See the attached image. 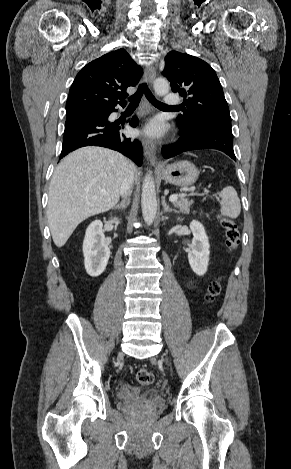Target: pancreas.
I'll list each match as a JSON object with an SVG mask.
<instances>
[{
    "label": "pancreas",
    "instance_id": "pancreas-1",
    "mask_svg": "<svg viewBox=\"0 0 291 469\" xmlns=\"http://www.w3.org/2000/svg\"><path fill=\"white\" fill-rule=\"evenodd\" d=\"M174 206L179 208L181 212L189 213L190 206L193 204L192 201L188 200L187 198H180L179 200L175 201Z\"/></svg>",
    "mask_w": 291,
    "mask_h": 469
}]
</instances>
